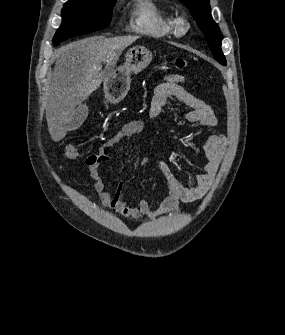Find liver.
Masks as SVG:
<instances>
[{
  "label": "liver",
  "mask_w": 285,
  "mask_h": 335,
  "mask_svg": "<svg viewBox=\"0 0 285 335\" xmlns=\"http://www.w3.org/2000/svg\"><path fill=\"white\" fill-rule=\"evenodd\" d=\"M138 38L140 36H94L67 44L55 52L57 60L46 100V120L53 142L65 138L76 106L88 100L106 80L101 74L103 62L108 72L116 66L125 48Z\"/></svg>",
  "instance_id": "obj_1"
}]
</instances>
